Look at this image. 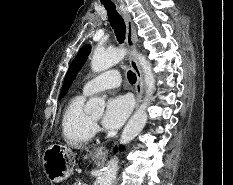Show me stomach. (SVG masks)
<instances>
[{"mask_svg":"<svg viewBox=\"0 0 233 185\" xmlns=\"http://www.w3.org/2000/svg\"><path fill=\"white\" fill-rule=\"evenodd\" d=\"M96 159H103L104 156L94 155ZM43 169L47 178L52 182H62L73 174L74 154L64 146L53 144L43 154Z\"/></svg>","mask_w":233,"mask_h":185,"instance_id":"obj_1","label":"stomach"}]
</instances>
